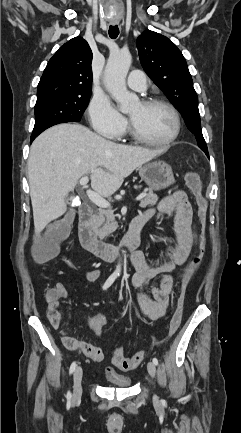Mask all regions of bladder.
Returning <instances> with one entry per match:
<instances>
[{"mask_svg":"<svg viewBox=\"0 0 241 433\" xmlns=\"http://www.w3.org/2000/svg\"><path fill=\"white\" fill-rule=\"evenodd\" d=\"M106 380L108 382V386L115 388H128L131 386L132 380L128 375H123L119 373H107Z\"/></svg>","mask_w":241,"mask_h":433,"instance_id":"obj_1","label":"bladder"}]
</instances>
